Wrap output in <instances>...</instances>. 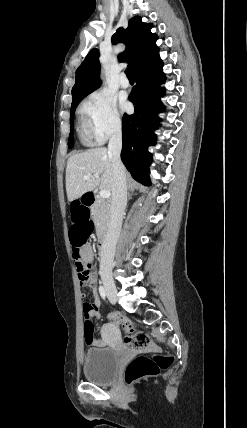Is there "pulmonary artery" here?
Masks as SVG:
<instances>
[{"label": "pulmonary artery", "mask_w": 247, "mask_h": 428, "mask_svg": "<svg viewBox=\"0 0 247 428\" xmlns=\"http://www.w3.org/2000/svg\"><path fill=\"white\" fill-rule=\"evenodd\" d=\"M119 84L122 88H127L129 87V81L126 78V76L123 74L121 75L120 79H119Z\"/></svg>", "instance_id": "e3ab8cb5"}]
</instances>
